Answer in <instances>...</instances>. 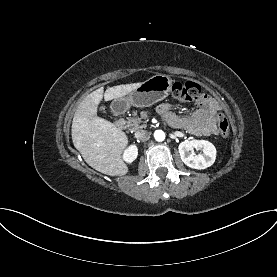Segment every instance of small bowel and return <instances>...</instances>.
I'll return each mask as SVG.
<instances>
[{"mask_svg": "<svg viewBox=\"0 0 277 277\" xmlns=\"http://www.w3.org/2000/svg\"><path fill=\"white\" fill-rule=\"evenodd\" d=\"M199 105L200 107L187 117L177 116L168 103L160 104L158 111L166 122L175 128L184 129L194 135H217L220 103L210 96L203 95Z\"/></svg>", "mask_w": 277, "mask_h": 277, "instance_id": "c3829d8e", "label": "small bowel"}]
</instances>
